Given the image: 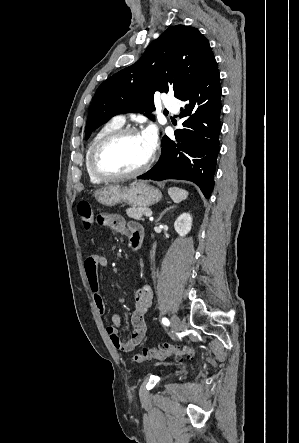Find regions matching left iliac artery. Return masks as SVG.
<instances>
[{"instance_id": "obj_1", "label": "left iliac artery", "mask_w": 299, "mask_h": 443, "mask_svg": "<svg viewBox=\"0 0 299 443\" xmlns=\"http://www.w3.org/2000/svg\"><path fill=\"white\" fill-rule=\"evenodd\" d=\"M162 323H163L164 325H166V326H169V325H170V322H169V320H168L166 317L162 318Z\"/></svg>"}]
</instances>
